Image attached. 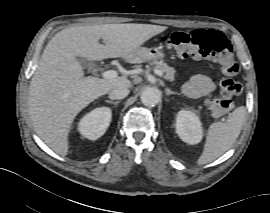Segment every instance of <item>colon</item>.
<instances>
[{
	"mask_svg": "<svg viewBox=\"0 0 270 213\" xmlns=\"http://www.w3.org/2000/svg\"><path fill=\"white\" fill-rule=\"evenodd\" d=\"M163 44L182 58L213 59L218 62L227 77L221 81L222 95L208 99L207 106L214 116L228 112L233 105L232 97L238 95L242 87L231 78L238 72V66L226 37L214 29H198L190 33L174 32L163 39Z\"/></svg>",
	"mask_w": 270,
	"mask_h": 213,
	"instance_id": "obj_1",
	"label": "colon"
}]
</instances>
